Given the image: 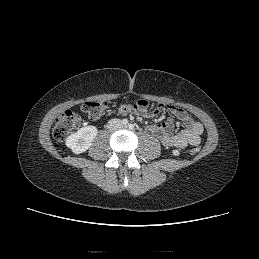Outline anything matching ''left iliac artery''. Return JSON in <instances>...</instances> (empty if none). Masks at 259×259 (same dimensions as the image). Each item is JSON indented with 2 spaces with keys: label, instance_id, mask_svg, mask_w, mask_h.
<instances>
[{
  "label": "left iliac artery",
  "instance_id": "left-iliac-artery-1",
  "mask_svg": "<svg viewBox=\"0 0 259 259\" xmlns=\"http://www.w3.org/2000/svg\"><path fill=\"white\" fill-rule=\"evenodd\" d=\"M129 129H133L134 128V125L133 124H129Z\"/></svg>",
  "mask_w": 259,
  "mask_h": 259
}]
</instances>
